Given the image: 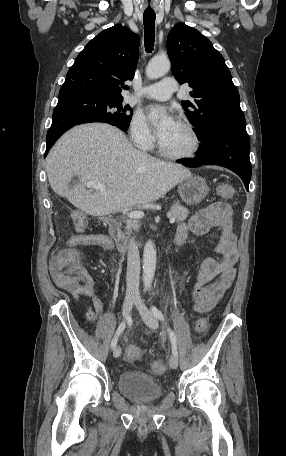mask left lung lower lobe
<instances>
[{"label":"left lung lower lobe","instance_id":"left-lung-lower-lobe-1","mask_svg":"<svg viewBox=\"0 0 286 456\" xmlns=\"http://www.w3.org/2000/svg\"><path fill=\"white\" fill-rule=\"evenodd\" d=\"M250 139L246 131L218 129L201 139L198 157L182 161L186 167L219 165L235 172L249 191L251 163L249 158Z\"/></svg>","mask_w":286,"mask_h":456}]
</instances>
